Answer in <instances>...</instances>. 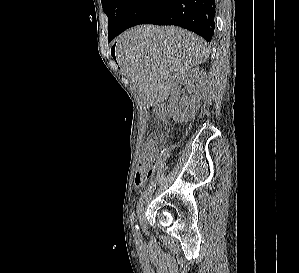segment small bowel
<instances>
[{"label":"small bowel","instance_id":"1","mask_svg":"<svg viewBox=\"0 0 299 273\" xmlns=\"http://www.w3.org/2000/svg\"><path fill=\"white\" fill-rule=\"evenodd\" d=\"M144 181L145 180H137V178H136V176H135V184L137 185V186H141L143 183H144Z\"/></svg>","mask_w":299,"mask_h":273}]
</instances>
